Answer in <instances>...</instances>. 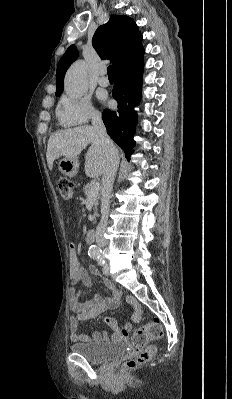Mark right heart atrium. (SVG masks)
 I'll return each mask as SVG.
<instances>
[{
  "mask_svg": "<svg viewBox=\"0 0 232 399\" xmlns=\"http://www.w3.org/2000/svg\"><path fill=\"white\" fill-rule=\"evenodd\" d=\"M80 99L81 96L78 103H71L70 96H66L57 106L56 116L61 126L69 128V125H86L97 117L92 107L83 105Z\"/></svg>",
  "mask_w": 232,
  "mask_h": 399,
  "instance_id": "obj_1",
  "label": "right heart atrium"
}]
</instances>
